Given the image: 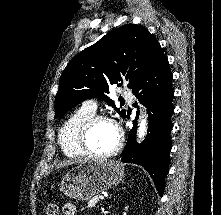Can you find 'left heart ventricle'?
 I'll list each match as a JSON object with an SVG mask.
<instances>
[{
	"label": "left heart ventricle",
	"mask_w": 221,
	"mask_h": 215,
	"mask_svg": "<svg viewBox=\"0 0 221 215\" xmlns=\"http://www.w3.org/2000/svg\"><path fill=\"white\" fill-rule=\"evenodd\" d=\"M118 139L116 128L109 122H99L92 129L89 136V145L97 153L111 150Z\"/></svg>",
	"instance_id": "1"
}]
</instances>
